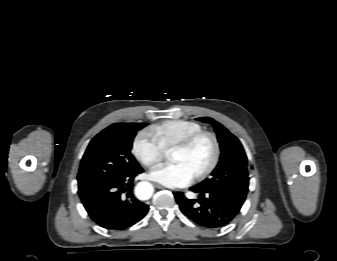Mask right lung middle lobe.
<instances>
[{
    "label": "right lung middle lobe",
    "mask_w": 337,
    "mask_h": 261,
    "mask_svg": "<svg viewBox=\"0 0 337 261\" xmlns=\"http://www.w3.org/2000/svg\"><path fill=\"white\" fill-rule=\"evenodd\" d=\"M147 123H115L90 142L78 173L79 195L141 169L131 153L136 133Z\"/></svg>",
    "instance_id": "1"
}]
</instances>
